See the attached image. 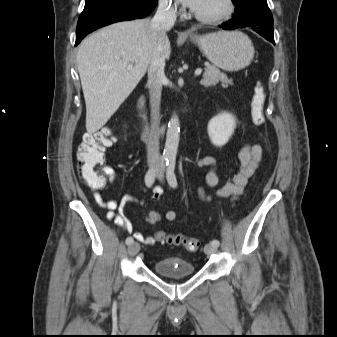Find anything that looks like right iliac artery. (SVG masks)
I'll list each match as a JSON object with an SVG mask.
<instances>
[{
  "label": "right iliac artery",
  "instance_id": "1",
  "mask_svg": "<svg viewBox=\"0 0 337 337\" xmlns=\"http://www.w3.org/2000/svg\"><path fill=\"white\" fill-rule=\"evenodd\" d=\"M168 160L167 156H162L160 164H163ZM157 167L151 168L148 170V172L145 175V183L147 187H151L152 184L154 183L155 180V175H156ZM133 238L132 237H127L126 238V244L130 245L133 243Z\"/></svg>",
  "mask_w": 337,
  "mask_h": 337
}]
</instances>
